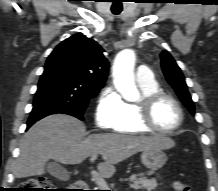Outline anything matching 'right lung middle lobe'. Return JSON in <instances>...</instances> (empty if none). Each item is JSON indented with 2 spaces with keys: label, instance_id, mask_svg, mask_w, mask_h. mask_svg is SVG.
I'll list each match as a JSON object with an SVG mask.
<instances>
[{
  "label": "right lung middle lobe",
  "instance_id": "dd1d6c3e",
  "mask_svg": "<svg viewBox=\"0 0 218 191\" xmlns=\"http://www.w3.org/2000/svg\"><path fill=\"white\" fill-rule=\"evenodd\" d=\"M101 88L63 68L45 65L35 93L33 108L53 104L83 114L89 100L94 98Z\"/></svg>",
  "mask_w": 218,
  "mask_h": 191
}]
</instances>
